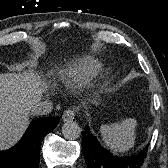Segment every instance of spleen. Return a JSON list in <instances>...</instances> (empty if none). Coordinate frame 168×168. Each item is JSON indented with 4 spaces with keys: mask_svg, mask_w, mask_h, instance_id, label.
Listing matches in <instances>:
<instances>
[{
    "mask_svg": "<svg viewBox=\"0 0 168 168\" xmlns=\"http://www.w3.org/2000/svg\"><path fill=\"white\" fill-rule=\"evenodd\" d=\"M136 125L137 121L131 118L102 125L100 133L105 145L114 152H127L135 144Z\"/></svg>",
    "mask_w": 168,
    "mask_h": 168,
    "instance_id": "obj_1",
    "label": "spleen"
}]
</instances>
